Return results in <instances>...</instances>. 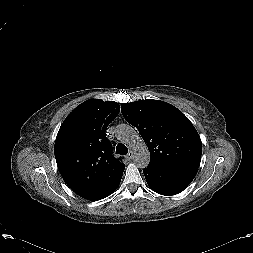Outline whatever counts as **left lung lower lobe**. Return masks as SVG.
Returning <instances> with one entry per match:
<instances>
[{"label": "left lung lower lobe", "mask_w": 253, "mask_h": 253, "mask_svg": "<svg viewBox=\"0 0 253 253\" xmlns=\"http://www.w3.org/2000/svg\"><path fill=\"white\" fill-rule=\"evenodd\" d=\"M198 167L181 163L150 162L143 170L149 187L165 196L182 192L194 179Z\"/></svg>", "instance_id": "left-lung-lower-lobe-1"}]
</instances>
